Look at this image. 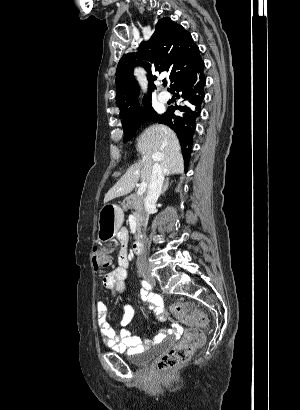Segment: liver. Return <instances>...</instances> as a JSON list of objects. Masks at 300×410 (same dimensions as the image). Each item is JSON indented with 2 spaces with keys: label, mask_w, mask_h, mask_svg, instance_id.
<instances>
[{
  "label": "liver",
  "mask_w": 300,
  "mask_h": 410,
  "mask_svg": "<svg viewBox=\"0 0 300 410\" xmlns=\"http://www.w3.org/2000/svg\"><path fill=\"white\" fill-rule=\"evenodd\" d=\"M137 151L142 159L131 166L107 192L104 202L129 194L139 180L149 183L152 166L158 163L165 175L184 172L181 146L174 131L164 125L148 127L137 140Z\"/></svg>",
  "instance_id": "1"
}]
</instances>
